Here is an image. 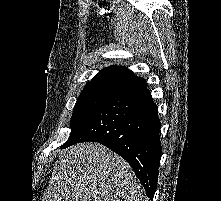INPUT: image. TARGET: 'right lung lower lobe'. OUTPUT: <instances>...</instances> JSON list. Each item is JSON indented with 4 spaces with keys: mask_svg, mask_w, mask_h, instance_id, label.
Returning a JSON list of instances; mask_svg holds the SVG:
<instances>
[{
    "mask_svg": "<svg viewBox=\"0 0 221 201\" xmlns=\"http://www.w3.org/2000/svg\"><path fill=\"white\" fill-rule=\"evenodd\" d=\"M160 126L158 108L139 77L118 89L61 148L84 141L105 145L130 164L152 200L162 152Z\"/></svg>",
    "mask_w": 221,
    "mask_h": 201,
    "instance_id": "98d812e1",
    "label": "right lung lower lobe"
}]
</instances>
